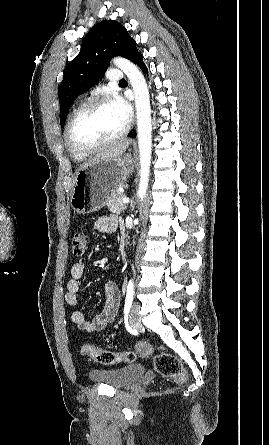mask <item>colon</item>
<instances>
[{
    "label": "colon",
    "instance_id": "obj_1",
    "mask_svg": "<svg viewBox=\"0 0 269 445\" xmlns=\"http://www.w3.org/2000/svg\"><path fill=\"white\" fill-rule=\"evenodd\" d=\"M88 246V237L83 233H77L72 239V254L74 256H82ZM137 354L147 358L152 355V348L144 343L136 344V351L111 352L102 350L92 345H84L81 349V355L89 357L98 363L104 365H113L117 363H133ZM153 365L158 374L163 377L173 378L177 381H184L186 374L183 370L181 361L173 354L161 352L153 356Z\"/></svg>",
    "mask_w": 269,
    "mask_h": 445
}]
</instances>
